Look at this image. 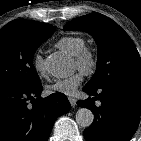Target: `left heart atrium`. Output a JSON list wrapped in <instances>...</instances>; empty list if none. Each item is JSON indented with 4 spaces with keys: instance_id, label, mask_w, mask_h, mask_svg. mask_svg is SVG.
<instances>
[{
    "instance_id": "1",
    "label": "left heart atrium",
    "mask_w": 141,
    "mask_h": 141,
    "mask_svg": "<svg viewBox=\"0 0 141 141\" xmlns=\"http://www.w3.org/2000/svg\"><path fill=\"white\" fill-rule=\"evenodd\" d=\"M82 74L75 73L67 78L59 79L49 87L50 93L73 95L82 82Z\"/></svg>"
}]
</instances>
